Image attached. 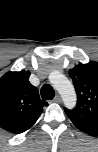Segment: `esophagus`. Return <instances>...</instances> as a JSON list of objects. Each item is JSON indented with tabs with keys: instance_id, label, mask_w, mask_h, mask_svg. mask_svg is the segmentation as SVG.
<instances>
[{
	"instance_id": "esophagus-1",
	"label": "esophagus",
	"mask_w": 98,
	"mask_h": 152,
	"mask_svg": "<svg viewBox=\"0 0 98 152\" xmlns=\"http://www.w3.org/2000/svg\"><path fill=\"white\" fill-rule=\"evenodd\" d=\"M54 102H56V103H60L61 102V97H60V95H56L55 96V98H54V100H53Z\"/></svg>"
}]
</instances>
